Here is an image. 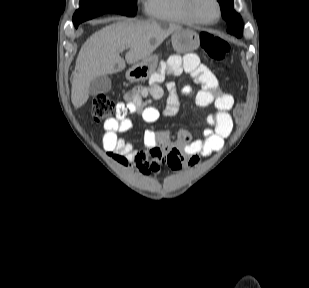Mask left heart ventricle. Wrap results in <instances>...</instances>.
<instances>
[{
    "label": "left heart ventricle",
    "instance_id": "obj_1",
    "mask_svg": "<svg viewBox=\"0 0 309 288\" xmlns=\"http://www.w3.org/2000/svg\"><path fill=\"white\" fill-rule=\"evenodd\" d=\"M196 11L206 21H214L218 16V9L214 0H196Z\"/></svg>",
    "mask_w": 309,
    "mask_h": 288
}]
</instances>
